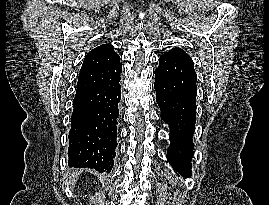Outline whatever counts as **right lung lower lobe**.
Masks as SVG:
<instances>
[{"mask_svg": "<svg viewBox=\"0 0 269 205\" xmlns=\"http://www.w3.org/2000/svg\"><path fill=\"white\" fill-rule=\"evenodd\" d=\"M119 81L76 90L69 132V166L111 171L117 146Z\"/></svg>", "mask_w": 269, "mask_h": 205, "instance_id": "1", "label": "right lung lower lobe"}]
</instances>
